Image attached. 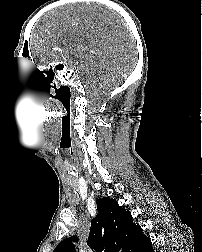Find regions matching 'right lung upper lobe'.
Here are the masks:
<instances>
[{
  "label": "right lung upper lobe",
  "instance_id": "1",
  "mask_svg": "<svg viewBox=\"0 0 202 252\" xmlns=\"http://www.w3.org/2000/svg\"><path fill=\"white\" fill-rule=\"evenodd\" d=\"M98 214L91 221L88 244L96 252H140L150 239L142 233V228L132 222L129 210H124L118 202L108 197L98 199ZM76 236L62 241L53 252H76L71 241Z\"/></svg>",
  "mask_w": 202,
  "mask_h": 252
}]
</instances>
